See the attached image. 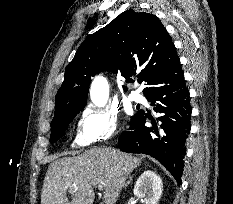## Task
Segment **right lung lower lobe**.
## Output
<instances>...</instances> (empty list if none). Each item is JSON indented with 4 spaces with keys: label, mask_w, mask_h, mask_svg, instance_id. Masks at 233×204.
Listing matches in <instances>:
<instances>
[{
    "label": "right lung lower lobe",
    "mask_w": 233,
    "mask_h": 204,
    "mask_svg": "<svg viewBox=\"0 0 233 204\" xmlns=\"http://www.w3.org/2000/svg\"><path fill=\"white\" fill-rule=\"evenodd\" d=\"M143 93L160 117L152 120V127H146L145 114L138 111L129 131L121 133L118 146L124 152L153 156L180 185L191 119L189 91L180 61L153 80Z\"/></svg>",
    "instance_id": "right-lung-lower-lobe-1"
}]
</instances>
